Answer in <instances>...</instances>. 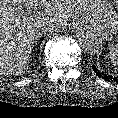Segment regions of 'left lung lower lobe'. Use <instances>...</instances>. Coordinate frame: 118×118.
Masks as SVG:
<instances>
[{"label":"left lung lower lobe","mask_w":118,"mask_h":118,"mask_svg":"<svg viewBox=\"0 0 118 118\" xmlns=\"http://www.w3.org/2000/svg\"><path fill=\"white\" fill-rule=\"evenodd\" d=\"M92 68H93V71L100 77V78H103V79H106V80H111V81H118V79H117V77H113V76H111V75H107V74H105V73H103V72H100L97 68H96V66H92Z\"/></svg>","instance_id":"left-lung-lower-lobe-1"}]
</instances>
